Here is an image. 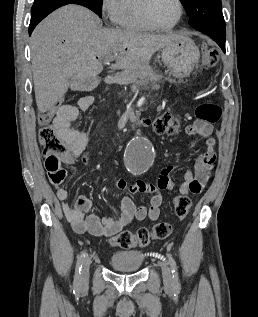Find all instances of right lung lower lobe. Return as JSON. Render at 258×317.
<instances>
[{"label": "right lung lower lobe", "instance_id": "obj_1", "mask_svg": "<svg viewBox=\"0 0 258 317\" xmlns=\"http://www.w3.org/2000/svg\"><path fill=\"white\" fill-rule=\"evenodd\" d=\"M79 4L93 10L89 0H35L31 9V21L29 26V35L36 25L55 9L67 5Z\"/></svg>", "mask_w": 258, "mask_h": 317}]
</instances>
